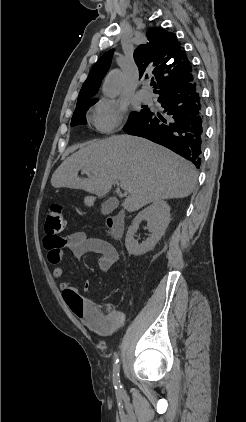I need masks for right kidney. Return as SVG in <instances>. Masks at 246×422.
<instances>
[{
	"instance_id": "1",
	"label": "right kidney",
	"mask_w": 246,
	"mask_h": 422,
	"mask_svg": "<svg viewBox=\"0 0 246 422\" xmlns=\"http://www.w3.org/2000/svg\"><path fill=\"white\" fill-rule=\"evenodd\" d=\"M142 220L148 222L147 229L151 234L145 241L138 244L134 239V235ZM169 222L170 206L163 200L156 201L139 212L126 234L125 246L129 254L140 256L152 250L164 235Z\"/></svg>"
}]
</instances>
